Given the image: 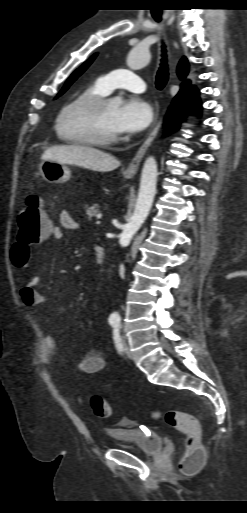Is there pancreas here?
<instances>
[{
  "label": "pancreas",
  "mask_w": 247,
  "mask_h": 513,
  "mask_svg": "<svg viewBox=\"0 0 247 513\" xmlns=\"http://www.w3.org/2000/svg\"><path fill=\"white\" fill-rule=\"evenodd\" d=\"M86 208V214L88 218H92L100 212L99 206L97 204H93L92 206L86 205Z\"/></svg>",
  "instance_id": "obj_1"
}]
</instances>
